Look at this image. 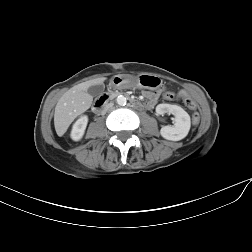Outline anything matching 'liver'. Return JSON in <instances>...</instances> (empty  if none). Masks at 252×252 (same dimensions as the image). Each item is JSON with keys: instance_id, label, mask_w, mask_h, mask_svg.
Masks as SVG:
<instances>
[{"instance_id": "liver-1", "label": "liver", "mask_w": 252, "mask_h": 252, "mask_svg": "<svg viewBox=\"0 0 252 252\" xmlns=\"http://www.w3.org/2000/svg\"><path fill=\"white\" fill-rule=\"evenodd\" d=\"M104 81V77L86 81L72 87L62 95L54 114V125L58 136L64 135L74 119L90 108L93 97L87 92L88 88L102 84Z\"/></svg>"}]
</instances>
